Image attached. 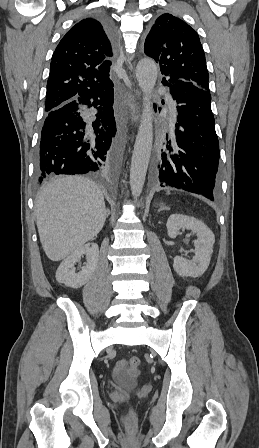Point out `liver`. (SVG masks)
<instances>
[{
    "label": "liver",
    "mask_w": 259,
    "mask_h": 448,
    "mask_svg": "<svg viewBox=\"0 0 259 448\" xmlns=\"http://www.w3.org/2000/svg\"><path fill=\"white\" fill-rule=\"evenodd\" d=\"M104 196L92 180L62 176L42 186L36 198L37 228L49 260L59 262L102 230Z\"/></svg>",
    "instance_id": "6515ba94"
}]
</instances>
